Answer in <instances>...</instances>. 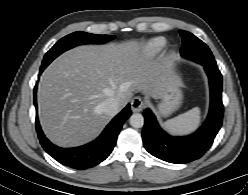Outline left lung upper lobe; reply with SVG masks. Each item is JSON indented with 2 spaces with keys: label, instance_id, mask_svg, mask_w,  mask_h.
Masks as SVG:
<instances>
[{
  "label": "left lung upper lobe",
  "instance_id": "5c2ea615",
  "mask_svg": "<svg viewBox=\"0 0 248 195\" xmlns=\"http://www.w3.org/2000/svg\"><path fill=\"white\" fill-rule=\"evenodd\" d=\"M180 35L183 41L181 49L183 57L199 64H203L206 59L212 62L215 61L208 46L192 33L180 30Z\"/></svg>",
  "mask_w": 248,
  "mask_h": 195
}]
</instances>
